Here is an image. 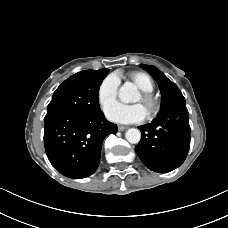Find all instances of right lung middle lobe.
Segmentation results:
<instances>
[{
	"label": "right lung middle lobe",
	"instance_id": "1",
	"mask_svg": "<svg viewBox=\"0 0 228 228\" xmlns=\"http://www.w3.org/2000/svg\"><path fill=\"white\" fill-rule=\"evenodd\" d=\"M108 69L84 70L65 80L54 92L47 114L71 112L94 114L100 111L98 92Z\"/></svg>",
	"mask_w": 228,
	"mask_h": 228
}]
</instances>
